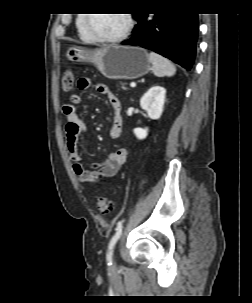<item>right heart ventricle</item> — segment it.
<instances>
[{
    "label": "right heart ventricle",
    "mask_w": 252,
    "mask_h": 303,
    "mask_svg": "<svg viewBox=\"0 0 252 303\" xmlns=\"http://www.w3.org/2000/svg\"><path fill=\"white\" fill-rule=\"evenodd\" d=\"M76 25L78 27L80 35L84 38H87L88 34L85 31V18L84 17L77 18Z\"/></svg>",
    "instance_id": "obj_1"
}]
</instances>
